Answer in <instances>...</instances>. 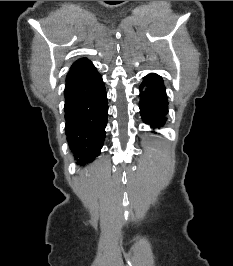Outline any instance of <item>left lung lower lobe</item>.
Wrapping results in <instances>:
<instances>
[{
    "label": "left lung lower lobe",
    "mask_w": 233,
    "mask_h": 266,
    "mask_svg": "<svg viewBox=\"0 0 233 266\" xmlns=\"http://www.w3.org/2000/svg\"><path fill=\"white\" fill-rule=\"evenodd\" d=\"M145 87V90L143 88ZM140 113L151 128H160L167 120L168 100L162 78L157 74L144 77L140 86Z\"/></svg>",
    "instance_id": "obj_1"
}]
</instances>
